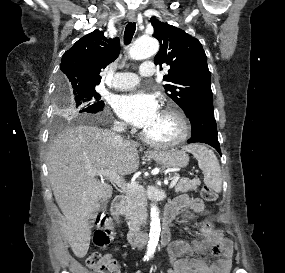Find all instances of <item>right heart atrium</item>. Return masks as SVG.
I'll return each mask as SVG.
<instances>
[{
	"label": "right heart atrium",
	"instance_id": "right-heart-atrium-1",
	"mask_svg": "<svg viewBox=\"0 0 285 273\" xmlns=\"http://www.w3.org/2000/svg\"><path fill=\"white\" fill-rule=\"evenodd\" d=\"M118 126L122 127V126H123V124H122V123H118Z\"/></svg>",
	"mask_w": 285,
	"mask_h": 273
}]
</instances>
